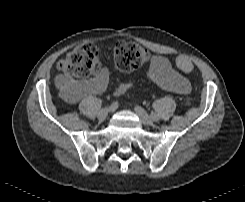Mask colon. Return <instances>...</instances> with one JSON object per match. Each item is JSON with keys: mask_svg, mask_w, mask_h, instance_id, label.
Segmentation results:
<instances>
[{"mask_svg": "<svg viewBox=\"0 0 245 202\" xmlns=\"http://www.w3.org/2000/svg\"><path fill=\"white\" fill-rule=\"evenodd\" d=\"M115 63L125 72L134 71L147 64L148 51L130 39H121L114 48ZM99 67V57L90 43L82 44L61 58L57 63V69L61 75V92L68 98L74 88L76 79L93 75ZM184 72H189L192 64L185 62L181 65ZM190 100H185L189 105Z\"/></svg>", "mask_w": 245, "mask_h": 202, "instance_id": "1", "label": "colon"}]
</instances>
